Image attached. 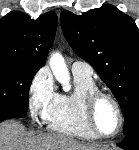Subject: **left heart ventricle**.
<instances>
[{
	"label": "left heart ventricle",
	"instance_id": "left-heart-ventricle-1",
	"mask_svg": "<svg viewBox=\"0 0 139 150\" xmlns=\"http://www.w3.org/2000/svg\"><path fill=\"white\" fill-rule=\"evenodd\" d=\"M94 118L98 130L103 134H112L118 126L115 107L107 98H102L97 103Z\"/></svg>",
	"mask_w": 139,
	"mask_h": 150
}]
</instances>
